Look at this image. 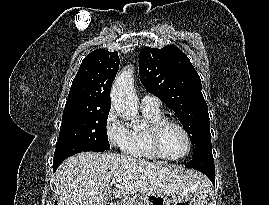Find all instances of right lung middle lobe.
<instances>
[{"mask_svg": "<svg viewBox=\"0 0 269 205\" xmlns=\"http://www.w3.org/2000/svg\"><path fill=\"white\" fill-rule=\"evenodd\" d=\"M109 110L110 108L65 107L56 148L81 145L109 150L106 131Z\"/></svg>", "mask_w": 269, "mask_h": 205, "instance_id": "right-lung-middle-lobe-1", "label": "right lung middle lobe"}]
</instances>
